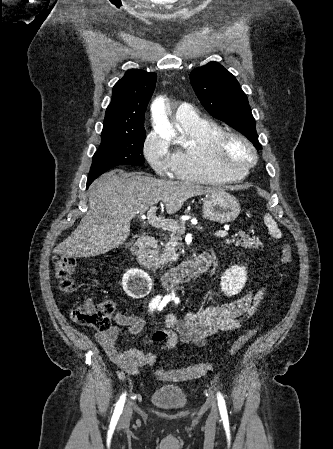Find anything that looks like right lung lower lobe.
<instances>
[{"instance_id": "right-lung-lower-lobe-1", "label": "right lung lower lobe", "mask_w": 333, "mask_h": 449, "mask_svg": "<svg viewBox=\"0 0 333 449\" xmlns=\"http://www.w3.org/2000/svg\"><path fill=\"white\" fill-rule=\"evenodd\" d=\"M95 178H88L87 187L94 181Z\"/></svg>"}]
</instances>
